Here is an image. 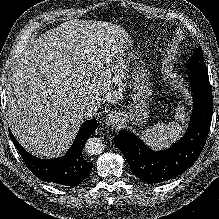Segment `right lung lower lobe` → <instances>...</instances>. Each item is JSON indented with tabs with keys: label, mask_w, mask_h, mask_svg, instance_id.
Instances as JSON below:
<instances>
[{
	"label": "right lung lower lobe",
	"mask_w": 219,
	"mask_h": 219,
	"mask_svg": "<svg viewBox=\"0 0 219 219\" xmlns=\"http://www.w3.org/2000/svg\"><path fill=\"white\" fill-rule=\"evenodd\" d=\"M96 128V119L85 121L66 155L50 160L38 159L31 155L21 147L10 130L9 135L26 166L34 175L47 182L74 187L80 184L92 170L93 163L83 157L82 148Z\"/></svg>",
	"instance_id": "98d812e1"
}]
</instances>
